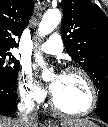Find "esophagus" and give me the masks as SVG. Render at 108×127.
<instances>
[{
	"mask_svg": "<svg viewBox=\"0 0 108 127\" xmlns=\"http://www.w3.org/2000/svg\"><path fill=\"white\" fill-rule=\"evenodd\" d=\"M45 125L48 126V127H50L52 125V122L50 120L45 121Z\"/></svg>",
	"mask_w": 108,
	"mask_h": 127,
	"instance_id": "1",
	"label": "esophagus"
}]
</instances>
